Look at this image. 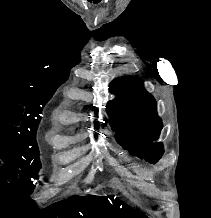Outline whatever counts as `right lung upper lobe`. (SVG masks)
<instances>
[{
  "mask_svg": "<svg viewBox=\"0 0 211 218\" xmlns=\"http://www.w3.org/2000/svg\"><path fill=\"white\" fill-rule=\"evenodd\" d=\"M95 125H96V127H98V124H97V123H95Z\"/></svg>",
  "mask_w": 211,
  "mask_h": 218,
  "instance_id": "1",
  "label": "right lung upper lobe"
}]
</instances>
